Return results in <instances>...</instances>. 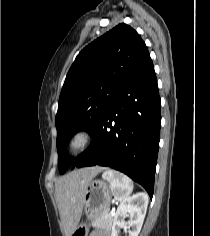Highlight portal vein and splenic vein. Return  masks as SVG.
Returning a JSON list of instances; mask_svg holds the SVG:
<instances>
[{
  "label": "portal vein and splenic vein",
  "mask_w": 210,
  "mask_h": 236,
  "mask_svg": "<svg viewBox=\"0 0 210 236\" xmlns=\"http://www.w3.org/2000/svg\"><path fill=\"white\" fill-rule=\"evenodd\" d=\"M114 212H115V209H112V211H111V215H114Z\"/></svg>",
  "instance_id": "1"
}]
</instances>
